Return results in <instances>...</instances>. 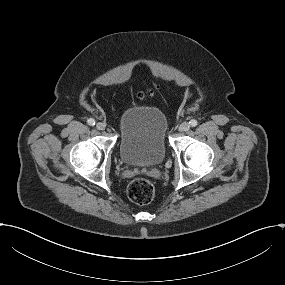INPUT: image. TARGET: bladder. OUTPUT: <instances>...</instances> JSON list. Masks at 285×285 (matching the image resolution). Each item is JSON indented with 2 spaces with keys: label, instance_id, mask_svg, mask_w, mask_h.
I'll return each instance as SVG.
<instances>
[{
  "label": "bladder",
  "instance_id": "31cf9c89",
  "mask_svg": "<svg viewBox=\"0 0 285 285\" xmlns=\"http://www.w3.org/2000/svg\"><path fill=\"white\" fill-rule=\"evenodd\" d=\"M119 156L134 167L159 165L167 150L168 122L158 108H128L119 117Z\"/></svg>",
  "mask_w": 285,
  "mask_h": 285
}]
</instances>
